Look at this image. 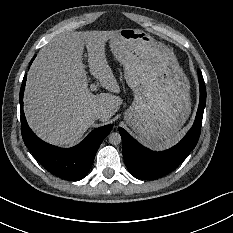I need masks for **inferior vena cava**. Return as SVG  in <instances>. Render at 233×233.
<instances>
[{"instance_id":"inferior-vena-cava-1","label":"inferior vena cava","mask_w":233,"mask_h":233,"mask_svg":"<svg viewBox=\"0 0 233 233\" xmlns=\"http://www.w3.org/2000/svg\"><path fill=\"white\" fill-rule=\"evenodd\" d=\"M102 116V112H99V111H94L92 114H91V118L93 120H97V119H100Z\"/></svg>"}]
</instances>
